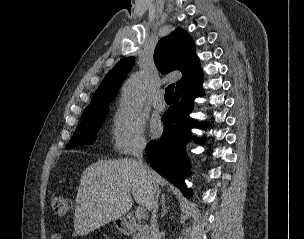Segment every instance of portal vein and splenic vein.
Wrapping results in <instances>:
<instances>
[{
    "label": "portal vein and splenic vein",
    "instance_id": "18ae733b",
    "mask_svg": "<svg viewBox=\"0 0 304 239\" xmlns=\"http://www.w3.org/2000/svg\"><path fill=\"white\" fill-rule=\"evenodd\" d=\"M135 216L138 220H142L146 216V209L143 207H138L135 213Z\"/></svg>",
    "mask_w": 304,
    "mask_h": 239
}]
</instances>
